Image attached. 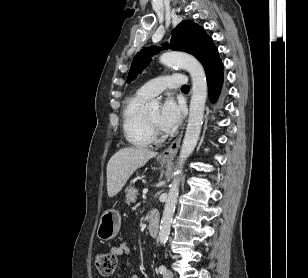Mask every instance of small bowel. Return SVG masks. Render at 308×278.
Listing matches in <instances>:
<instances>
[{
  "label": "small bowel",
  "instance_id": "obj_1",
  "mask_svg": "<svg viewBox=\"0 0 308 278\" xmlns=\"http://www.w3.org/2000/svg\"><path fill=\"white\" fill-rule=\"evenodd\" d=\"M111 252L114 253L116 256H122L128 255L130 253V249L126 241H121L111 248ZM131 278H138V276L133 274Z\"/></svg>",
  "mask_w": 308,
  "mask_h": 278
}]
</instances>
